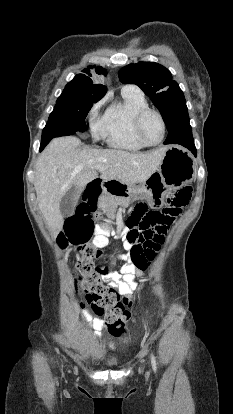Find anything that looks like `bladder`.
Wrapping results in <instances>:
<instances>
[{"label":"bladder","instance_id":"obj_1","mask_svg":"<svg viewBox=\"0 0 233 414\" xmlns=\"http://www.w3.org/2000/svg\"><path fill=\"white\" fill-rule=\"evenodd\" d=\"M111 347H114L115 344L111 343ZM99 364L104 368H116L120 365V360L116 357H105L99 359Z\"/></svg>","mask_w":233,"mask_h":414}]
</instances>
